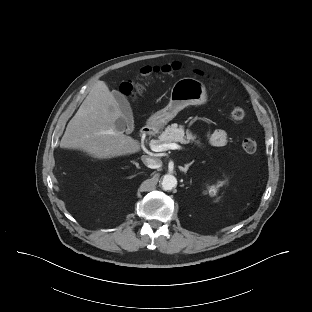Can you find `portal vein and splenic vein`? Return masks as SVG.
Returning a JSON list of instances; mask_svg holds the SVG:
<instances>
[{
	"mask_svg": "<svg viewBox=\"0 0 312 312\" xmlns=\"http://www.w3.org/2000/svg\"><path fill=\"white\" fill-rule=\"evenodd\" d=\"M150 148L152 151L154 152H162V151H167L169 149H172V150H176V149H182V147L176 143H169V144H166V143H163V144H156L155 141H152L150 143Z\"/></svg>",
	"mask_w": 312,
	"mask_h": 312,
	"instance_id": "obj_1",
	"label": "portal vein and splenic vein"
}]
</instances>
